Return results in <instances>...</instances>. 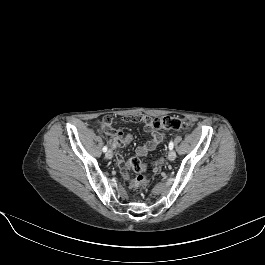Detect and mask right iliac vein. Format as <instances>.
I'll return each mask as SVG.
<instances>
[{
  "label": "right iliac vein",
  "instance_id": "1",
  "mask_svg": "<svg viewBox=\"0 0 265 265\" xmlns=\"http://www.w3.org/2000/svg\"><path fill=\"white\" fill-rule=\"evenodd\" d=\"M112 157H113V152H112L111 150H108V151L106 152V158H107V159H112Z\"/></svg>",
  "mask_w": 265,
  "mask_h": 265
}]
</instances>
